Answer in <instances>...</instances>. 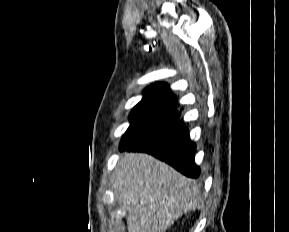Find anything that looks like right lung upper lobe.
<instances>
[{"label": "right lung upper lobe", "instance_id": "right-lung-upper-lobe-1", "mask_svg": "<svg viewBox=\"0 0 289 232\" xmlns=\"http://www.w3.org/2000/svg\"><path fill=\"white\" fill-rule=\"evenodd\" d=\"M140 104L175 110L177 98L171 94L165 83H155L144 90Z\"/></svg>", "mask_w": 289, "mask_h": 232}]
</instances>
